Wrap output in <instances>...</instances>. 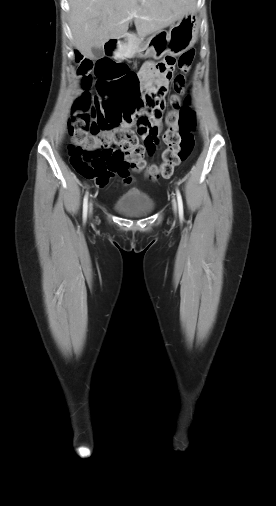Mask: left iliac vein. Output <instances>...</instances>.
Returning <instances> with one entry per match:
<instances>
[{"label":"left iliac vein","instance_id":"left-iliac-vein-1","mask_svg":"<svg viewBox=\"0 0 276 506\" xmlns=\"http://www.w3.org/2000/svg\"><path fill=\"white\" fill-rule=\"evenodd\" d=\"M173 208L176 211V202H175V200H173Z\"/></svg>","mask_w":276,"mask_h":506}]
</instances>
